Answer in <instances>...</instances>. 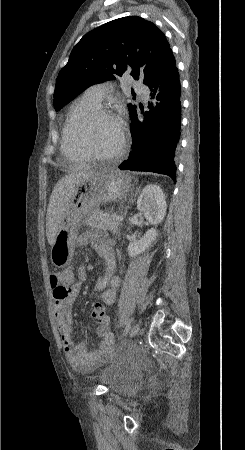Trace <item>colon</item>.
<instances>
[{"label":"colon","instance_id":"5ec220e1","mask_svg":"<svg viewBox=\"0 0 245 450\" xmlns=\"http://www.w3.org/2000/svg\"><path fill=\"white\" fill-rule=\"evenodd\" d=\"M63 286V285H62ZM91 319L99 325H107L109 317L106 307L101 303H95L90 312Z\"/></svg>","mask_w":245,"mask_h":450}]
</instances>
